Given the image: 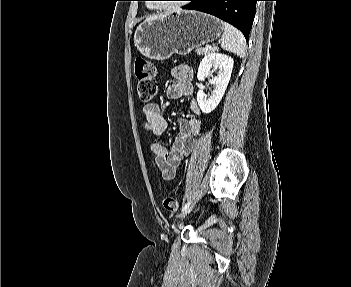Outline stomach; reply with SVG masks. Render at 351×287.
I'll list each match as a JSON object with an SVG mask.
<instances>
[{"label":"stomach","mask_w":351,"mask_h":287,"mask_svg":"<svg viewBox=\"0 0 351 287\" xmlns=\"http://www.w3.org/2000/svg\"><path fill=\"white\" fill-rule=\"evenodd\" d=\"M222 31V22L211 15L197 11L171 12L142 22L135 31L134 44L145 57L163 61L214 41Z\"/></svg>","instance_id":"stomach-1"}]
</instances>
